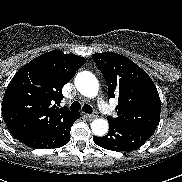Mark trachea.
Masks as SVG:
<instances>
[{
  "instance_id": "1",
  "label": "trachea",
  "mask_w": 182,
  "mask_h": 182,
  "mask_svg": "<svg viewBox=\"0 0 182 182\" xmlns=\"http://www.w3.org/2000/svg\"><path fill=\"white\" fill-rule=\"evenodd\" d=\"M70 109L73 110V111H76V110H80L81 109V104L78 102V101H74L71 106H70ZM82 111L86 112V113H92V107L85 104L83 107H82Z\"/></svg>"
}]
</instances>
